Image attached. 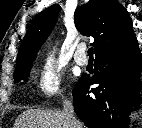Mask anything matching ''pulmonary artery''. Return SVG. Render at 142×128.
Listing matches in <instances>:
<instances>
[{
	"mask_svg": "<svg viewBox=\"0 0 142 128\" xmlns=\"http://www.w3.org/2000/svg\"><path fill=\"white\" fill-rule=\"evenodd\" d=\"M75 62L80 66L87 65V58L85 54V46L79 45L74 54Z\"/></svg>",
	"mask_w": 142,
	"mask_h": 128,
	"instance_id": "pulmonary-artery-1",
	"label": "pulmonary artery"
}]
</instances>
